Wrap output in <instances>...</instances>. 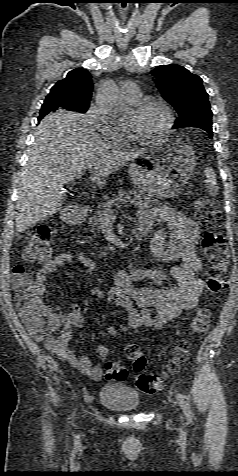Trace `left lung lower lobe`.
Segmentation results:
<instances>
[{"mask_svg": "<svg viewBox=\"0 0 238 476\" xmlns=\"http://www.w3.org/2000/svg\"><path fill=\"white\" fill-rule=\"evenodd\" d=\"M201 129H203V130H205L206 132H208V133H209V137L212 138V136H213L212 128L203 127V128H201Z\"/></svg>", "mask_w": 238, "mask_h": 476, "instance_id": "obj_1", "label": "left lung lower lobe"}]
</instances>
